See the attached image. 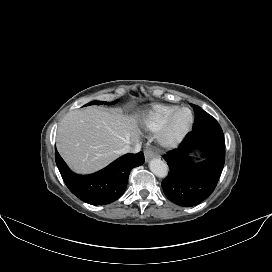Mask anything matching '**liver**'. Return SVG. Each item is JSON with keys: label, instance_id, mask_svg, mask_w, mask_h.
I'll use <instances>...</instances> for the list:
<instances>
[{"label": "liver", "instance_id": "liver-1", "mask_svg": "<svg viewBox=\"0 0 272 272\" xmlns=\"http://www.w3.org/2000/svg\"><path fill=\"white\" fill-rule=\"evenodd\" d=\"M140 137L137 117L88 107L67 113L57 130L56 146L62 158L78 173H92L119 157L126 144Z\"/></svg>", "mask_w": 272, "mask_h": 272}]
</instances>
